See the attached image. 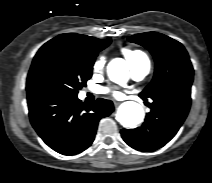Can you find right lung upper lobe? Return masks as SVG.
<instances>
[{
  "label": "right lung upper lobe",
  "instance_id": "cb5924a9",
  "mask_svg": "<svg viewBox=\"0 0 212 183\" xmlns=\"http://www.w3.org/2000/svg\"><path fill=\"white\" fill-rule=\"evenodd\" d=\"M54 43L66 44L74 49L85 52H93L97 51L101 47H103V49L107 47L111 43V39H97L81 34L65 33L53 38L46 44Z\"/></svg>",
  "mask_w": 212,
  "mask_h": 183
}]
</instances>
